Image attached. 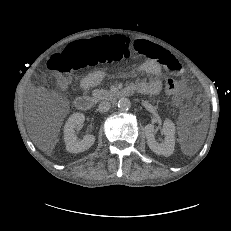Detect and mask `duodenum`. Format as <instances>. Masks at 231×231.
<instances>
[{"label":"duodenum","instance_id":"obj_1","mask_svg":"<svg viewBox=\"0 0 231 231\" xmlns=\"http://www.w3.org/2000/svg\"><path fill=\"white\" fill-rule=\"evenodd\" d=\"M133 92H134V88L132 86H128L111 93L109 95V98L112 100H119L121 98L130 96ZM94 104H95V99L90 96H80L76 99V107L82 111L91 110Z\"/></svg>","mask_w":231,"mask_h":231}]
</instances>
